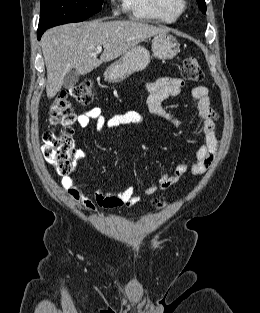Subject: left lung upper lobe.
Masks as SVG:
<instances>
[{
  "mask_svg": "<svg viewBox=\"0 0 260 313\" xmlns=\"http://www.w3.org/2000/svg\"><path fill=\"white\" fill-rule=\"evenodd\" d=\"M199 5H200V9L203 13L206 12V4H205V1L204 0H197Z\"/></svg>",
  "mask_w": 260,
  "mask_h": 313,
  "instance_id": "5c2ea615",
  "label": "left lung upper lobe"
}]
</instances>
